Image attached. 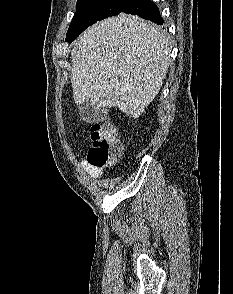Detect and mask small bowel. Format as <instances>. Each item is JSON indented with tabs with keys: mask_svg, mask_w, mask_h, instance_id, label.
Returning <instances> with one entry per match:
<instances>
[{
	"mask_svg": "<svg viewBox=\"0 0 233 294\" xmlns=\"http://www.w3.org/2000/svg\"><path fill=\"white\" fill-rule=\"evenodd\" d=\"M83 165H84V167L87 169V171H88L91 175H93L94 177H97V176L100 175V169H98V168H94V167L90 166V165L88 164V162H83Z\"/></svg>",
	"mask_w": 233,
	"mask_h": 294,
	"instance_id": "small-bowel-1",
	"label": "small bowel"
}]
</instances>
